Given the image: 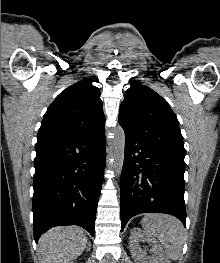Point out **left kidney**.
<instances>
[{"label": "left kidney", "instance_id": "obj_1", "mask_svg": "<svg viewBox=\"0 0 220 263\" xmlns=\"http://www.w3.org/2000/svg\"><path fill=\"white\" fill-rule=\"evenodd\" d=\"M140 242H147L152 248L153 256H147L140 247ZM130 251L137 263H171L158 241L140 228H133L130 232Z\"/></svg>", "mask_w": 220, "mask_h": 263}]
</instances>
